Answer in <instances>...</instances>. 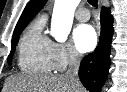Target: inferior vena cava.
I'll use <instances>...</instances> for the list:
<instances>
[{"label":"inferior vena cava","instance_id":"602c4592","mask_svg":"<svg viewBox=\"0 0 127 92\" xmlns=\"http://www.w3.org/2000/svg\"><path fill=\"white\" fill-rule=\"evenodd\" d=\"M81 57L79 53L72 49L70 51V59H69V68L65 73V76L70 79V81L75 85L78 86L80 81L78 77V71L80 67Z\"/></svg>","mask_w":127,"mask_h":92}]
</instances>
